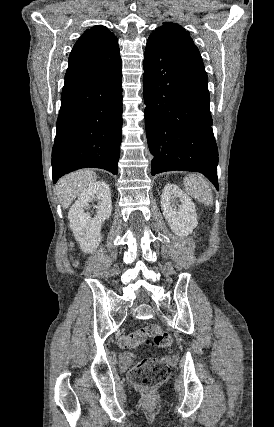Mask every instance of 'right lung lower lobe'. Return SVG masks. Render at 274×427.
Wrapping results in <instances>:
<instances>
[{"label": "right lung lower lobe", "instance_id": "right-lung-lower-lobe-1", "mask_svg": "<svg viewBox=\"0 0 274 427\" xmlns=\"http://www.w3.org/2000/svg\"><path fill=\"white\" fill-rule=\"evenodd\" d=\"M121 62L95 77L64 85L52 150L53 182L74 170L117 174L122 140Z\"/></svg>", "mask_w": 274, "mask_h": 427}]
</instances>
